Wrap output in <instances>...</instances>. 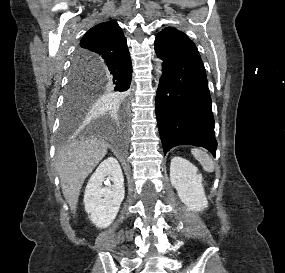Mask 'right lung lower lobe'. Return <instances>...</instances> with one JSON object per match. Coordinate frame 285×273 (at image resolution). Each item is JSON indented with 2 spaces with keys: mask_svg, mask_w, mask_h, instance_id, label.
<instances>
[{
  "mask_svg": "<svg viewBox=\"0 0 285 273\" xmlns=\"http://www.w3.org/2000/svg\"><path fill=\"white\" fill-rule=\"evenodd\" d=\"M99 85L110 88L113 92H124L129 89L132 79L130 55L117 61L95 67Z\"/></svg>",
  "mask_w": 285,
  "mask_h": 273,
  "instance_id": "1",
  "label": "right lung lower lobe"
}]
</instances>
